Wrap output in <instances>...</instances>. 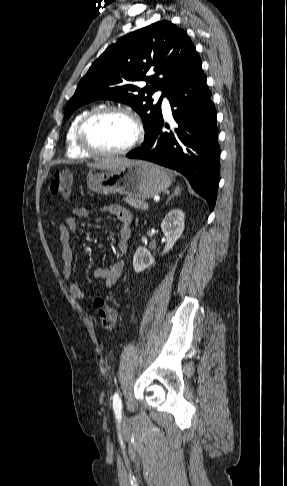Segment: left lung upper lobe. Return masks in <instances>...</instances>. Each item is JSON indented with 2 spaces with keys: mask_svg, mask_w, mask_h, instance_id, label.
I'll return each mask as SVG.
<instances>
[{
  "mask_svg": "<svg viewBox=\"0 0 287 486\" xmlns=\"http://www.w3.org/2000/svg\"><path fill=\"white\" fill-rule=\"evenodd\" d=\"M199 59L186 32L169 21L131 32L91 65L68 102L64 119L86 103L108 99L131 106L148 131L162 117L163 95L157 103L152 95L158 90L166 93ZM141 80L147 83L144 88L135 85Z\"/></svg>",
  "mask_w": 287,
  "mask_h": 486,
  "instance_id": "left-lung-upper-lobe-1",
  "label": "left lung upper lobe"
}]
</instances>
